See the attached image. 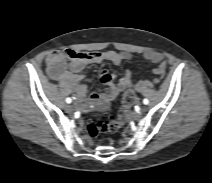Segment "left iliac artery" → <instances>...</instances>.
Wrapping results in <instances>:
<instances>
[{"label": "left iliac artery", "instance_id": "obj_1", "mask_svg": "<svg viewBox=\"0 0 212 183\" xmlns=\"http://www.w3.org/2000/svg\"><path fill=\"white\" fill-rule=\"evenodd\" d=\"M143 103H144L145 105H147V104L149 103L148 99H144V100H143Z\"/></svg>", "mask_w": 212, "mask_h": 183}]
</instances>
